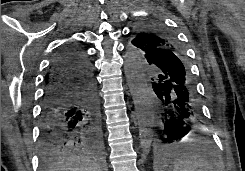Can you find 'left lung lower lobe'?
<instances>
[{"label": "left lung lower lobe", "instance_id": "1", "mask_svg": "<svg viewBox=\"0 0 245 171\" xmlns=\"http://www.w3.org/2000/svg\"><path fill=\"white\" fill-rule=\"evenodd\" d=\"M148 61L159 72L151 77L160 107L156 120L158 143L172 144L190 134L192 126L201 124L202 112L195 84L181 54L163 51ZM162 153L166 156L170 151L163 148Z\"/></svg>", "mask_w": 245, "mask_h": 171}]
</instances>
